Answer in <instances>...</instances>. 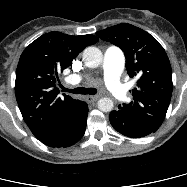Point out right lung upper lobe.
Listing matches in <instances>:
<instances>
[{
	"label": "right lung upper lobe",
	"mask_w": 187,
	"mask_h": 187,
	"mask_svg": "<svg viewBox=\"0 0 187 187\" xmlns=\"http://www.w3.org/2000/svg\"><path fill=\"white\" fill-rule=\"evenodd\" d=\"M97 41L91 34L49 32L22 53L16 70L15 94L23 119L37 139L64 122L81 102L66 94L58 95L59 75L85 47Z\"/></svg>",
	"instance_id": "cb5924a9"
}]
</instances>
